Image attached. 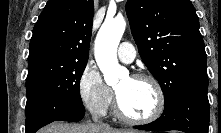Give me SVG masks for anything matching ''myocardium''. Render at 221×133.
Returning a JSON list of instances; mask_svg holds the SVG:
<instances>
[{
	"mask_svg": "<svg viewBox=\"0 0 221 133\" xmlns=\"http://www.w3.org/2000/svg\"><path fill=\"white\" fill-rule=\"evenodd\" d=\"M132 79L134 80H144V81H148L152 84L155 93H156V106L154 111L143 118H136V117H132L129 116L127 114L124 113L122 107H121V102L119 99V96L117 94V92H115V113L116 116L129 124H134V125H144V124H149L151 122H154L155 120H157L163 113L164 109H165V93L163 90L162 85L160 84V82L152 75L149 74H144V73H137L131 76Z\"/></svg>",
	"mask_w": 221,
	"mask_h": 133,
	"instance_id": "obj_1",
	"label": "myocardium"
}]
</instances>
